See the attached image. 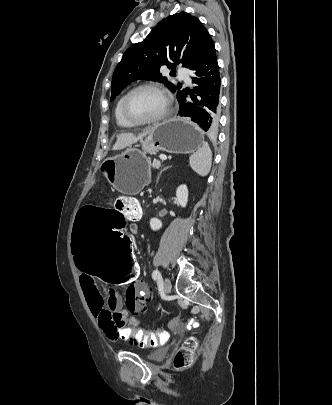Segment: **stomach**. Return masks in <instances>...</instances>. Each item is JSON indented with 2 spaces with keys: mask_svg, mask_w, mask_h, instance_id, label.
I'll list each match as a JSON object with an SVG mask.
<instances>
[{
  "mask_svg": "<svg viewBox=\"0 0 332 405\" xmlns=\"http://www.w3.org/2000/svg\"><path fill=\"white\" fill-rule=\"evenodd\" d=\"M204 142L201 129L187 118H174L160 123L144 140L142 150L128 148L123 153L106 158L100 171L119 192L135 195L150 180V160L147 154L159 151L193 153Z\"/></svg>",
  "mask_w": 332,
  "mask_h": 405,
  "instance_id": "obj_1",
  "label": "stomach"
}]
</instances>
